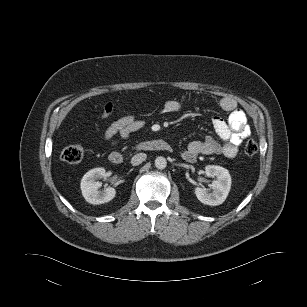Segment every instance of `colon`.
I'll return each instance as SVG.
<instances>
[{"mask_svg": "<svg viewBox=\"0 0 307 307\" xmlns=\"http://www.w3.org/2000/svg\"><path fill=\"white\" fill-rule=\"evenodd\" d=\"M258 151V145L255 140H248L244 146V153L247 156H253ZM84 156L83 148L79 145H70L61 152V159L69 164L79 163Z\"/></svg>", "mask_w": 307, "mask_h": 307, "instance_id": "obj_1", "label": "colon"}]
</instances>
